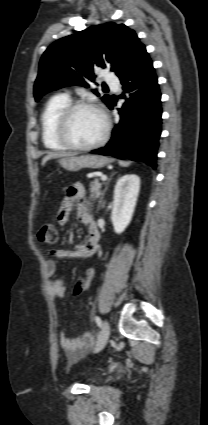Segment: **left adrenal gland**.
I'll list each match as a JSON object with an SVG mask.
<instances>
[{"instance_id":"left-adrenal-gland-1","label":"left adrenal gland","mask_w":208,"mask_h":425,"mask_svg":"<svg viewBox=\"0 0 208 425\" xmlns=\"http://www.w3.org/2000/svg\"><path fill=\"white\" fill-rule=\"evenodd\" d=\"M113 175H115V173H113V174L111 175L110 179L108 180V182H107V184H106L105 190L103 191V194H102L101 199H100V201H99L98 210H100V207H101V206H103V205H102V199H103V196H104V194H105V192H106V190H107V188H108V184H109V182H110V180H111V178H112V176H113Z\"/></svg>"}]
</instances>
